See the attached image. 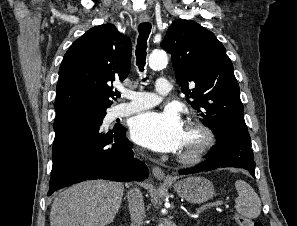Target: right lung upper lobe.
Returning <instances> with one entry per match:
<instances>
[{
	"label": "right lung upper lobe",
	"instance_id": "cb5924a9",
	"mask_svg": "<svg viewBox=\"0 0 297 226\" xmlns=\"http://www.w3.org/2000/svg\"><path fill=\"white\" fill-rule=\"evenodd\" d=\"M132 44L112 24L88 30L67 50L59 69L55 111L62 115L81 108L105 110L113 103L109 82L129 74Z\"/></svg>",
	"mask_w": 297,
	"mask_h": 226
}]
</instances>
